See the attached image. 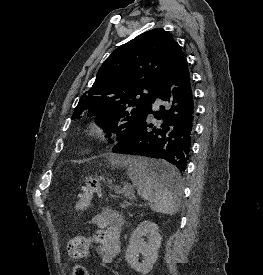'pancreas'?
Listing matches in <instances>:
<instances>
[{
  "label": "pancreas",
  "mask_w": 263,
  "mask_h": 275,
  "mask_svg": "<svg viewBox=\"0 0 263 275\" xmlns=\"http://www.w3.org/2000/svg\"><path fill=\"white\" fill-rule=\"evenodd\" d=\"M129 216H131V217H132L133 215H132V214H129Z\"/></svg>",
  "instance_id": "cf45deb5"
}]
</instances>
